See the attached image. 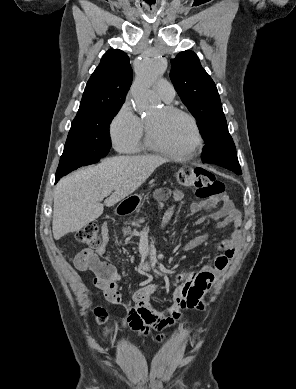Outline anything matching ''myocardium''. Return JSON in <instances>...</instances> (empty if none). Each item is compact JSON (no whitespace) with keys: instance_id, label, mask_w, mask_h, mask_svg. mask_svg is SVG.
Instances as JSON below:
<instances>
[{"instance_id":"obj_1","label":"myocardium","mask_w":296,"mask_h":389,"mask_svg":"<svg viewBox=\"0 0 296 389\" xmlns=\"http://www.w3.org/2000/svg\"><path fill=\"white\" fill-rule=\"evenodd\" d=\"M163 110L169 114H176V115H180V116L185 117L190 122V124L193 128L194 141L188 149H186L182 152L170 150V149L160 145L154 139L151 128H150L148 122L146 121V141H147L148 147L151 148L152 150H154L155 152H158L160 154H163L165 156H168V157H171L174 159H178V160H186V159L193 157L202 144V133H201V130H200V127H199V124H198L196 118L188 111L181 109L179 107L173 106V105H165L163 107Z\"/></svg>"}]
</instances>
